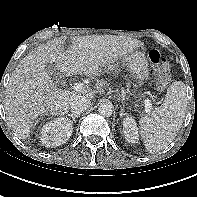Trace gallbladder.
<instances>
[{"mask_svg":"<svg viewBox=\"0 0 197 197\" xmlns=\"http://www.w3.org/2000/svg\"><path fill=\"white\" fill-rule=\"evenodd\" d=\"M45 69L50 75H54L56 71L55 67L51 64H47Z\"/></svg>","mask_w":197,"mask_h":197,"instance_id":"gallbladder-1","label":"gallbladder"}]
</instances>
